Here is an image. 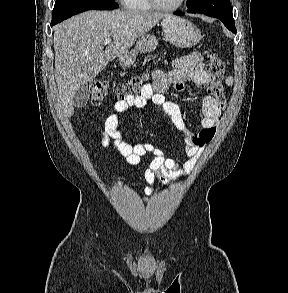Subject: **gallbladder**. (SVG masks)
Returning <instances> with one entry per match:
<instances>
[{
  "label": "gallbladder",
  "instance_id": "obj_1",
  "mask_svg": "<svg viewBox=\"0 0 288 293\" xmlns=\"http://www.w3.org/2000/svg\"><path fill=\"white\" fill-rule=\"evenodd\" d=\"M90 96L88 84L81 85L74 94L73 105L77 108L86 106Z\"/></svg>",
  "mask_w": 288,
  "mask_h": 293
}]
</instances>
